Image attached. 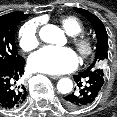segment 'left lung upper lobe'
<instances>
[{
	"label": "left lung upper lobe",
	"mask_w": 117,
	"mask_h": 117,
	"mask_svg": "<svg viewBox=\"0 0 117 117\" xmlns=\"http://www.w3.org/2000/svg\"><path fill=\"white\" fill-rule=\"evenodd\" d=\"M75 11L82 14L92 24L97 36L96 56L93 63L86 69L95 71L98 74L105 75V65L108 59V41L107 32L101 20L87 10L74 8Z\"/></svg>",
	"instance_id": "obj_1"
}]
</instances>
